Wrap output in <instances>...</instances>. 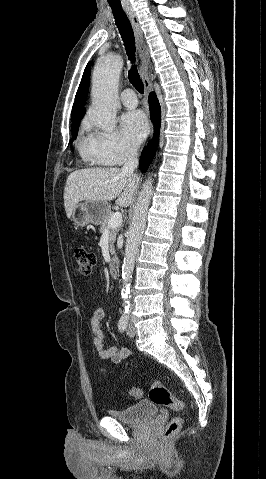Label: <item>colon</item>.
<instances>
[{"mask_svg":"<svg viewBox=\"0 0 266 479\" xmlns=\"http://www.w3.org/2000/svg\"><path fill=\"white\" fill-rule=\"evenodd\" d=\"M74 262L77 271L81 275H89L95 265V256L85 248H75L73 251ZM130 394L133 398L139 399L142 397V390L138 387H132ZM149 398L156 405L168 407L179 414L185 412L184 403L174 396L164 385L158 380H154L149 391ZM183 423L181 415L173 417L165 427L161 440L163 443H168L179 431Z\"/></svg>","mask_w":266,"mask_h":479,"instance_id":"colon-1","label":"colon"}]
</instances>
